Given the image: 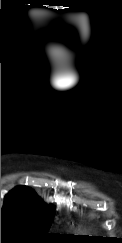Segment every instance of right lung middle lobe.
<instances>
[{
  "label": "right lung middle lobe",
  "mask_w": 122,
  "mask_h": 243,
  "mask_svg": "<svg viewBox=\"0 0 122 243\" xmlns=\"http://www.w3.org/2000/svg\"><path fill=\"white\" fill-rule=\"evenodd\" d=\"M53 214L52 208H36L19 201H4L1 233L43 239L51 226Z\"/></svg>",
  "instance_id": "obj_1"
}]
</instances>
